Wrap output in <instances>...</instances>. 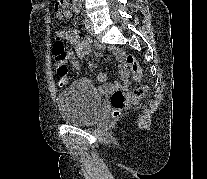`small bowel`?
<instances>
[{"mask_svg": "<svg viewBox=\"0 0 207 179\" xmlns=\"http://www.w3.org/2000/svg\"><path fill=\"white\" fill-rule=\"evenodd\" d=\"M72 14L69 10H66L61 19L69 20L71 19ZM55 36L69 41L75 48V52L68 51L66 53L67 58L70 61V64L74 70L80 69V63L77 57L83 58L92 53L91 41L88 38H81L79 31L76 29L58 30L55 33ZM103 47V46H101ZM109 50L113 56L117 59L119 63V81H114L112 83H107V76L104 73L98 74V81L101 83V91L109 92L110 90L117 87H128L130 84V71L123 62L125 53L122 49L116 47H110Z\"/></svg>", "mask_w": 207, "mask_h": 179, "instance_id": "1", "label": "small bowel"}]
</instances>
